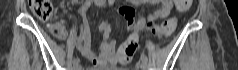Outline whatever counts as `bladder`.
Returning a JSON list of instances; mask_svg holds the SVG:
<instances>
[{"instance_id": "31cf9c89", "label": "bladder", "mask_w": 238, "mask_h": 70, "mask_svg": "<svg viewBox=\"0 0 238 70\" xmlns=\"http://www.w3.org/2000/svg\"><path fill=\"white\" fill-rule=\"evenodd\" d=\"M90 70H125V69L119 67H108L106 69H90Z\"/></svg>"}]
</instances>
